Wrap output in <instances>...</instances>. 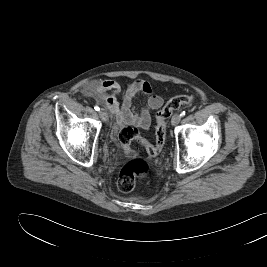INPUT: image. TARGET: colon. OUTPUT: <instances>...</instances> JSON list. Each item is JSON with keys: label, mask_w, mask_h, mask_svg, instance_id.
<instances>
[{"label": "colon", "mask_w": 267, "mask_h": 267, "mask_svg": "<svg viewBox=\"0 0 267 267\" xmlns=\"http://www.w3.org/2000/svg\"><path fill=\"white\" fill-rule=\"evenodd\" d=\"M192 95H179L173 97L156 114L155 142L150 143L141 136L139 130L132 126L124 127L119 133V142L123 148L127 161L119 171L117 187L121 192L128 193L134 190L139 181L146 179L150 172L148 163L140 158L132 147L134 141H139L150 156H157L165 143L166 124L174 111L193 102Z\"/></svg>", "instance_id": "obj_1"}]
</instances>
